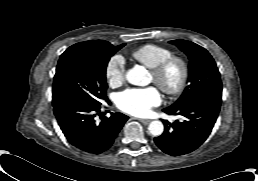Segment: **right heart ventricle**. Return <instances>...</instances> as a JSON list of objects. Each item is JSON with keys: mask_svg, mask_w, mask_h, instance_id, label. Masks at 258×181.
I'll return each mask as SVG.
<instances>
[{"mask_svg": "<svg viewBox=\"0 0 258 181\" xmlns=\"http://www.w3.org/2000/svg\"><path fill=\"white\" fill-rule=\"evenodd\" d=\"M172 52L156 44H145L133 51L132 57L148 68H153L171 56Z\"/></svg>", "mask_w": 258, "mask_h": 181, "instance_id": "obj_1", "label": "right heart ventricle"}]
</instances>
